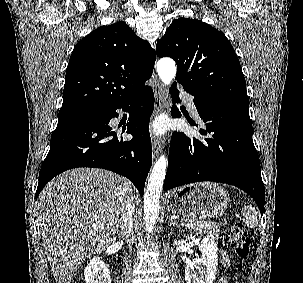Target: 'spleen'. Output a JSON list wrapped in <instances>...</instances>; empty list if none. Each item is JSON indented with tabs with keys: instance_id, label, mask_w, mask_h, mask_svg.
<instances>
[{
	"instance_id": "spleen-1",
	"label": "spleen",
	"mask_w": 303,
	"mask_h": 283,
	"mask_svg": "<svg viewBox=\"0 0 303 283\" xmlns=\"http://www.w3.org/2000/svg\"><path fill=\"white\" fill-rule=\"evenodd\" d=\"M243 219L249 228H255L258 225L257 212L254 207L247 205L242 209Z\"/></svg>"
}]
</instances>
